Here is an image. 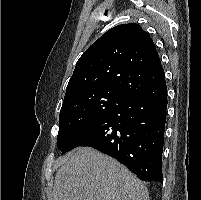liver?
<instances>
[{
	"mask_svg": "<svg viewBox=\"0 0 201 200\" xmlns=\"http://www.w3.org/2000/svg\"><path fill=\"white\" fill-rule=\"evenodd\" d=\"M147 188L125 166L91 147L69 153L56 173L52 200H148Z\"/></svg>",
	"mask_w": 201,
	"mask_h": 200,
	"instance_id": "1",
	"label": "liver"
}]
</instances>
